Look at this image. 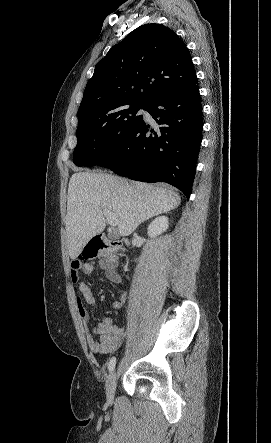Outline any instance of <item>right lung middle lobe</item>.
<instances>
[{
	"instance_id": "right-lung-middle-lobe-1",
	"label": "right lung middle lobe",
	"mask_w": 271,
	"mask_h": 443,
	"mask_svg": "<svg viewBox=\"0 0 271 443\" xmlns=\"http://www.w3.org/2000/svg\"><path fill=\"white\" fill-rule=\"evenodd\" d=\"M147 105L125 103L100 117L79 119L73 162L77 166L103 165L142 123L143 116L137 112Z\"/></svg>"
}]
</instances>
